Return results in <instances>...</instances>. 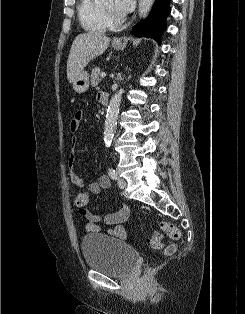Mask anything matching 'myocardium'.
I'll use <instances>...</instances> for the list:
<instances>
[{
  "mask_svg": "<svg viewBox=\"0 0 245 314\" xmlns=\"http://www.w3.org/2000/svg\"><path fill=\"white\" fill-rule=\"evenodd\" d=\"M101 13L105 19V21L111 26H117L123 23V16L107 10L102 4H100Z\"/></svg>",
  "mask_w": 245,
  "mask_h": 314,
  "instance_id": "f54148a6",
  "label": "myocardium"
}]
</instances>
